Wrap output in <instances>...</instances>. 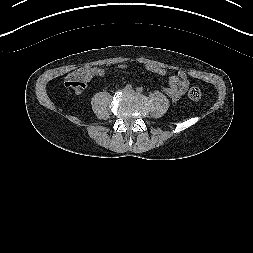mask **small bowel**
I'll use <instances>...</instances> for the list:
<instances>
[{"label":"small bowel","instance_id":"1","mask_svg":"<svg viewBox=\"0 0 253 253\" xmlns=\"http://www.w3.org/2000/svg\"><path fill=\"white\" fill-rule=\"evenodd\" d=\"M121 68H126V64H121ZM94 73L96 76H103L104 71L100 68H95ZM166 70H161L160 74H166ZM190 81L186 73L180 71L176 75H172L169 78L168 87L165 89L167 95L173 100L177 101L181 96H183L189 87ZM77 94H81L82 91H77Z\"/></svg>","mask_w":253,"mask_h":253}]
</instances>
